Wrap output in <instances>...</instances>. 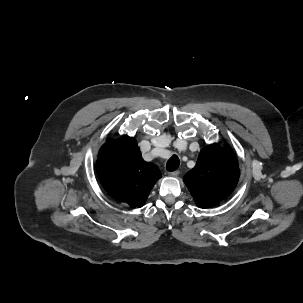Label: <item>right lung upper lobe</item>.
<instances>
[{"label":"right lung upper lobe","instance_id":"obj_1","mask_svg":"<svg viewBox=\"0 0 303 303\" xmlns=\"http://www.w3.org/2000/svg\"><path fill=\"white\" fill-rule=\"evenodd\" d=\"M103 188L114 199L131 207L144 205L161 172L152 162H145L136 140L127 135L109 139L101 148L96 163Z\"/></svg>","mask_w":303,"mask_h":303}]
</instances>
